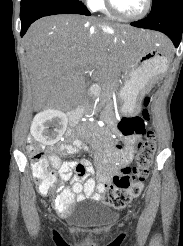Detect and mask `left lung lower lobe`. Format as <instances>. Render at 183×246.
Masks as SVG:
<instances>
[{
	"mask_svg": "<svg viewBox=\"0 0 183 246\" xmlns=\"http://www.w3.org/2000/svg\"><path fill=\"white\" fill-rule=\"evenodd\" d=\"M132 26L160 31L166 34L177 48L183 31V0H163L151 9L150 14Z\"/></svg>",
	"mask_w": 183,
	"mask_h": 246,
	"instance_id": "0a47b994",
	"label": "left lung lower lobe"
}]
</instances>
